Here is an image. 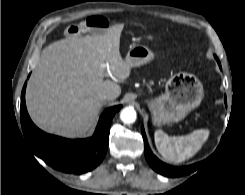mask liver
Here are the masks:
<instances>
[{
    "label": "liver",
    "mask_w": 245,
    "mask_h": 195,
    "mask_svg": "<svg viewBox=\"0 0 245 195\" xmlns=\"http://www.w3.org/2000/svg\"><path fill=\"white\" fill-rule=\"evenodd\" d=\"M123 28L116 24L103 34L66 38L43 49L26 90L27 109L38 127L63 137L83 136L103 106L101 95L111 94L110 101L119 97L121 87L104 77L130 76L132 66L120 53Z\"/></svg>",
    "instance_id": "6515ba94"
}]
</instances>
